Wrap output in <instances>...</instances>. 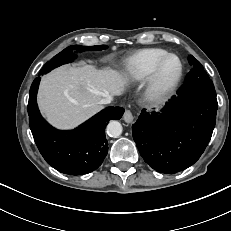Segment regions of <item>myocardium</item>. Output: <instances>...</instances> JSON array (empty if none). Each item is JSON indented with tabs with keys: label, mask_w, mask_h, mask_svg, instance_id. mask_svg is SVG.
Returning <instances> with one entry per match:
<instances>
[{
	"label": "myocardium",
	"mask_w": 231,
	"mask_h": 231,
	"mask_svg": "<svg viewBox=\"0 0 231 231\" xmlns=\"http://www.w3.org/2000/svg\"><path fill=\"white\" fill-rule=\"evenodd\" d=\"M170 58H176L179 63V69L175 77L169 81V82H162L160 80V73L162 70V67L166 63V61ZM184 73V65L181 58L174 54V53H168L164 57H162L155 67L153 68L152 72L148 76L146 80L145 85V97L147 100L151 102H157L165 97H167L169 94H171L179 85Z\"/></svg>",
	"instance_id": "f54148a6"
}]
</instances>
